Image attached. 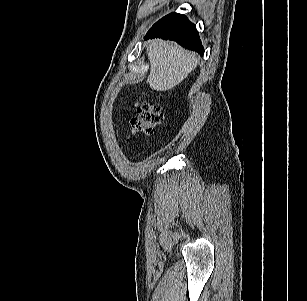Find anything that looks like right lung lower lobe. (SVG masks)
<instances>
[{
	"label": "right lung lower lobe",
	"instance_id": "1",
	"mask_svg": "<svg viewBox=\"0 0 307 301\" xmlns=\"http://www.w3.org/2000/svg\"><path fill=\"white\" fill-rule=\"evenodd\" d=\"M152 38L175 40L180 45L203 54V46L195 25L182 14L173 12L156 22L145 37Z\"/></svg>",
	"mask_w": 307,
	"mask_h": 301
}]
</instances>
